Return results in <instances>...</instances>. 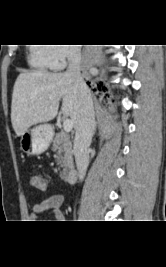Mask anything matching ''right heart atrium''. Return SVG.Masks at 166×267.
I'll return each mask as SVG.
<instances>
[{"mask_svg": "<svg viewBox=\"0 0 166 267\" xmlns=\"http://www.w3.org/2000/svg\"><path fill=\"white\" fill-rule=\"evenodd\" d=\"M77 52L72 46L53 45L51 46V56L53 60V68L60 69L69 60L76 57Z\"/></svg>", "mask_w": 166, "mask_h": 267, "instance_id": "right-heart-atrium-1", "label": "right heart atrium"}]
</instances>
